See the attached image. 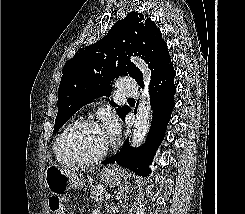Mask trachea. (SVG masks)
Returning a JSON list of instances; mask_svg holds the SVG:
<instances>
[{
    "label": "trachea",
    "instance_id": "obj_1",
    "mask_svg": "<svg viewBox=\"0 0 245 214\" xmlns=\"http://www.w3.org/2000/svg\"><path fill=\"white\" fill-rule=\"evenodd\" d=\"M129 100H133L134 98H128Z\"/></svg>",
    "mask_w": 245,
    "mask_h": 214
}]
</instances>
